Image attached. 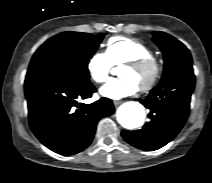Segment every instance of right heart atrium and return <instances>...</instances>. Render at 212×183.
<instances>
[{"instance_id": "right-heart-atrium-1", "label": "right heart atrium", "mask_w": 212, "mask_h": 183, "mask_svg": "<svg viewBox=\"0 0 212 183\" xmlns=\"http://www.w3.org/2000/svg\"><path fill=\"white\" fill-rule=\"evenodd\" d=\"M113 64L105 52H97L87 62V72L92 81L98 84L106 82L112 71Z\"/></svg>"}]
</instances>
